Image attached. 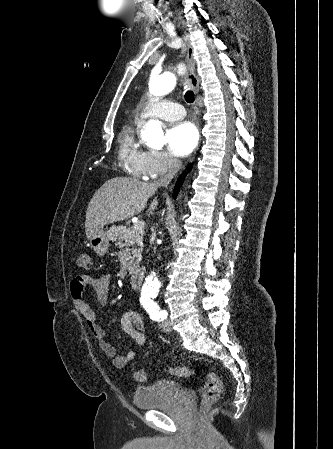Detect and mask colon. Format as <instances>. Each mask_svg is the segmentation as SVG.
<instances>
[{
    "label": "colon",
    "instance_id": "1",
    "mask_svg": "<svg viewBox=\"0 0 333 449\" xmlns=\"http://www.w3.org/2000/svg\"><path fill=\"white\" fill-rule=\"evenodd\" d=\"M78 261L82 268H89L91 265L90 252L88 250L82 251ZM171 373L178 377H190L195 374V370L185 366L173 367L171 368ZM134 377L137 381H144L146 379V373L144 370L139 369L135 371ZM205 378L206 383L202 390V404L203 406H209L219 398L222 392V382L213 372H208Z\"/></svg>",
    "mask_w": 333,
    "mask_h": 449
}]
</instances>
